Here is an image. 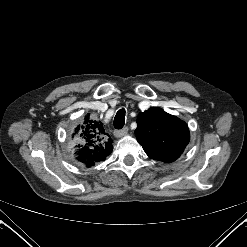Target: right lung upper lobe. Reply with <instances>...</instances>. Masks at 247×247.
Returning a JSON list of instances; mask_svg holds the SVG:
<instances>
[{
  "label": "right lung upper lobe",
  "instance_id": "right-lung-upper-lobe-1",
  "mask_svg": "<svg viewBox=\"0 0 247 247\" xmlns=\"http://www.w3.org/2000/svg\"><path fill=\"white\" fill-rule=\"evenodd\" d=\"M78 136L74 142V157L86 167L104 161L112 152V140L106 133L102 122L94 120L90 114L77 127Z\"/></svg>",
  "mask_w": 247,
  "mask_h": 247
}]
</instances>
